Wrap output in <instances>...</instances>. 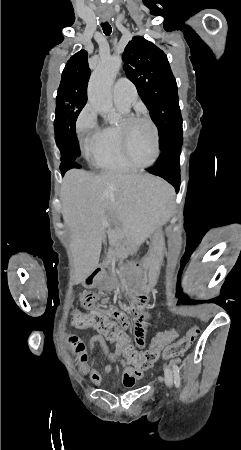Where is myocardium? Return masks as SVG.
I'll list each match as a JSON object with an SVG mask.
<instances>
[{
  "mask_svg": "<svg viewBox=\"0 0 241 450\" xmlns=\"http://www.w3.org/2000/svg\"><path fill=\"white\" fill-rule=\"evenodd\" d=\"M136 120V116L135 115H128L125 116L122 119V124L126 127H129V123L131 121H135ZM154 127H159V122H154ZM129 132V129L127 128H121L119 130V136H117L116 141L117 143H119V149H122V153H124V157L128 158V156H130L129 152H125L124 151V144L127 143V139H126V134ZM152 137H154V140L151 141L152 144V151H153V155L154 157L151 158V162H156V158L159 157V150H158V142H161V137H158V130H152L151 131Z\"/></svg>",
  "mask_w": 241,
  "mask_h": 450,
  "instance_id": "f54148a6",
  "label": "myocardium"
}]
</instances>
